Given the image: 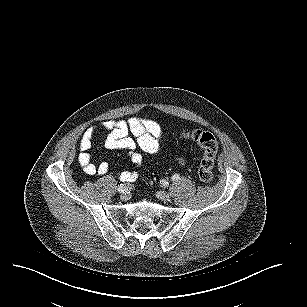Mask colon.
Listing matches in <instances>:
<instances>
[{
	"label": "colon",
	"mask_w": 307,
	"mask_h": 307,
	"mask_svg": "<svg viewBox=\"0 0 307 307\" xmlns=\"http://www.w3.org/2000/svg\"><path fill=\"white\" fill-rule=\"evenodd\" d=\"M181 136L196 143L202 150L203 156L198 169L199 179L210 183L214 179L213 166L218 152V143L213 134L203 130L183 131Z\"/></svg>",
	"instance_id": "5ec220e1"
}]
</instances>
